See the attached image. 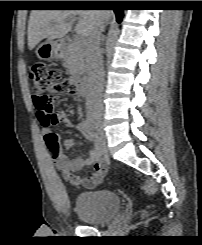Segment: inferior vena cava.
Wrapping results in <instances>:
<instances>
[{
    "label": "inferior vena cava",
    "mask_w": 202,
    "mask_h": 245,
    "mask_svg": "<svg viewBox=\"0 0 202 245\" xmlns=\"http://www.w3.org/2000/svg\"><path fill=\"white\" fill-rule=\"evenodd\" d=\"M106 22L99 23L88 38L85 50L88 92L86 109L89 115L102 114V92L104 85L103 56L100 49L101 33Z\"/></svg>",
    "instance_id": "obj_1"
}]
</instances>
